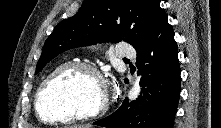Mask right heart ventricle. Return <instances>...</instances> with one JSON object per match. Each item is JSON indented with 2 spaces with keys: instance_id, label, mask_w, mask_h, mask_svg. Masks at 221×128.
I'll return each instance as SVG.
<instances>
[{
  "instance_id": "obj_1",
  "label": "right heart ventricle",
  "mask_w": 221,
  "mask_h": 128,
  "mask_svg": "<svg viewBox=\"0 0 221 128\" xmlns=\"http://www.w3.org/2000/svg\"><path fill=\"white\" fill-rule=\"evenodd\" d=\"M64 65V62H60V63H58L55 67H53V69L50 71V73L49 74H51L52 72H54V71H56L57 69H59L61 66H63ZM48 74V75H49Z\"/></svg>"
}]
</instances>
